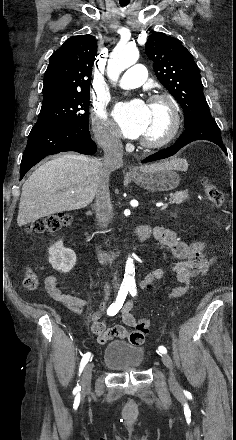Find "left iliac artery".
I'll list each match as a JSON object with an SVG mask.
<instances>
[{"label":"left iliac artery","mask_w":236,"mask_h":440,"mask_svg":"<svg viewBox=\"0 0 236 440\" xmlns=\"http://www.w3.org/2000/svg\"><path fill=\"white\" fill-rule=\"evenodd\" d=\"M129 292H130L131 296H133V297L136 296L137 295L136 285H131L129 288ZM158 351L163 354L167 353V349L164 346H159Z\"/></svg>","instance_id":"obj_1"}]
</instances>
